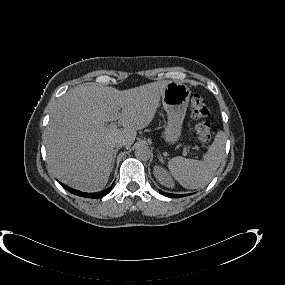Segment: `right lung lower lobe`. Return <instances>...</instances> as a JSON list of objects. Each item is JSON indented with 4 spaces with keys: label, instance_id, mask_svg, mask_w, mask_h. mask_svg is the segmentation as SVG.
<instances>
[{
    "label": "right lung lower lobe",
    "instance_id": "obj_1",
    "mask_svg": "<svg viewBox=\"0 0 285 285\" xmlns=\"http://www.w3.org/2000/svg\"><path fill=\"white\" fill-rule=\"evenodd\" d=\"M61 185L66 189L68 190L69 192L75 194V195H78V196H81V197H85V198H101L105 195H107L110 191H111V188L113 186V184L106 190L102 191V192H98V193H83L81 191H78V190H75V189H72L64 184L61 183Z\"/></svg>",
    "mask_w": 285,
    "mask_h": 285
}]
</instances>
